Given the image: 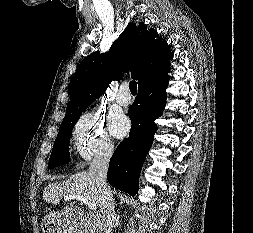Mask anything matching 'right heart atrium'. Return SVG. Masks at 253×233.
<instances>
[{
	"mask_svg": "<svg viewBox=\"0 0 253 233\" xmlns=\"http://www.w3.org/2000/svg\"><path fill=\"white\" fill-rule=\"evenodd\" d=\"M72 137L78 154L86 161L96 156H108L114 149L102 117L94 112H87L76 121Z\"/></svg>",
	"mask_w": 253,
	"mask_h": 233,
	"instance_id": "1",
	"label": "right heart atrium"
}]
</instances>
